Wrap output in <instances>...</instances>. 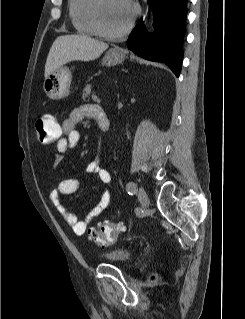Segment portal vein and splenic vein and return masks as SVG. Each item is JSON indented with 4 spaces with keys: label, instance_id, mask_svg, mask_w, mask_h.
Masks as SVG:
<instances>
[{
    "label": "portal vein and splenic vein",
    "instance_id": "portal-vein-and-splenic-vein-1",
    "mask_svg": "<svg viewBox=\"0 0 245 319\" xmlns=\"http://www.w3.org/2000/svg\"><path fill=\"white\" fill-rule=\"evenodd\" d=\"M92 99H93L94 101H98V100H99L96 95H92Z\"/></svg>",
    "mask_w": 245,
    "mask_h": 319
}]
</instances>
